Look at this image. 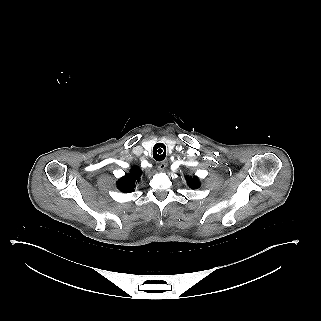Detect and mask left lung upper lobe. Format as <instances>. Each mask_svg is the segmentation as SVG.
<instances>
[{"mask_svg":"<svg viewBox=\"0 0 321 321\" xmlns=\"http://www.w3.org/2000/svg\"><path fill=\"white\" fill-rule=\"evenodd\" d=\"M187 184L192 189H197L200 186L199 180L197 177H187Z\"/></svg>","mask_w":321,"mask_h":321,"instance_id":"1","label":"left lung upper lobe"}]
</instances>
